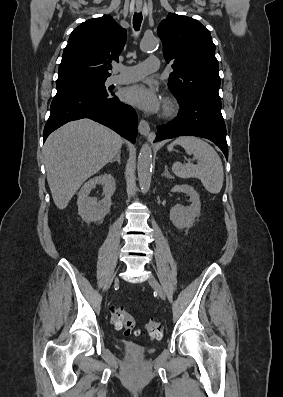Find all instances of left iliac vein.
I'll use <instances>...</instances> for the list:
<instances>
[{"instance_id": "1", "label": "left iliac vein", "mask_w": 283, "mask_h": 397, "mask_svg": "<svg viewBox=\"0 0 283 397\" xmlns=\"http://www.w3.org/2000/svg\"><path fill=\"white\" fill-rule=\"evenodd\" d=\"M148 282L154 288V290L157 292L158 296L162 300H165L166 299L165 292L163 291L161 285L159 284V282L156 280V278L153 275H150L148 277Z\"/></svg>"}]
</instances>
